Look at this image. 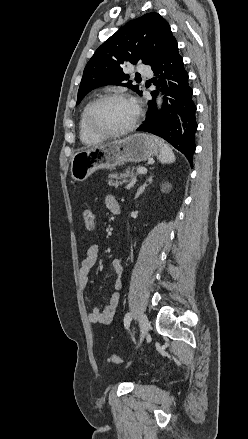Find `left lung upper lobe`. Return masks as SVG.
Wrapping results in <instances>:
<instances>
[{
	"mask_svg": "<svg viewBox=\"0 0 248 439\" xmlns=\"http://www.w3.org/2000/svg\"><path fill=\"white\" fill-rule=\"evenodd\" d=\"M176 41L169 24L158 13L151 12L125 24L106 40L87 63L80 83L77 104L91 90L117 84L128 86L141 94L139 86L123 72L127 63L138 61L154 66Z\"/></svg>",
	"mask_w": 248,
	"mask_h": 439,
	"instance_id": "obj_1",
	"label": "left lung upper lobe"
}]
</instances>
